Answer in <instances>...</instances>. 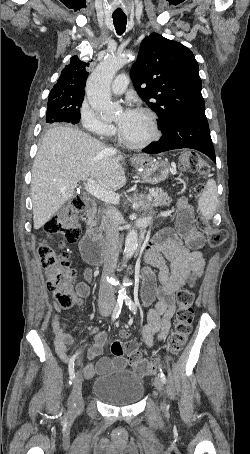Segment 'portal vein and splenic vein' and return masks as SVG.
<instances>
[{
    "label": "portal vein and splenic vein",
    "instance_id": "portal-vein-and-splenic-vein-1",
    "mask_svg": "<svg viewBox=\"0 0 250 454\" xmlns=\"http://www.w3.org/2000/svg\"><path fill=\"white\" fill-rule=\"evenodd\" d=\"M85 190L93 197L106 203L116 205L120 201V196L118 194L99 187L92 178L87 180V183L85 184Z\"/></svg>",
    "mask_w": 250,
    "mask_h": 454
}]
</instances>
